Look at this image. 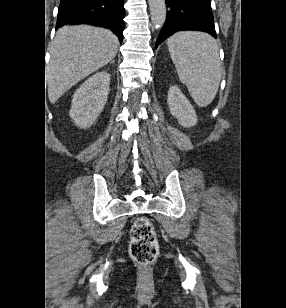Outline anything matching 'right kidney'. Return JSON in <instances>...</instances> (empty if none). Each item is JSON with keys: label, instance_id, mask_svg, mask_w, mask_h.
<instances>
[{"label": "right kidney", "instance_id": "obj_1", "mask_svg": "<svg viewBox=\"0 0 286 308\" xmlns=\"http://www.w3.org/2000/svg\"><path fill=\"white\" fill-rule=\"evenodd\" d=\"M110 75L101 71L87 79L74 93L69 112L75 125L89 128L96 121L106 104Z\"/></svg>", "mask_w": 286, "mask_h": 308}]
</instances>
